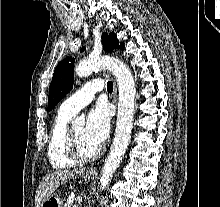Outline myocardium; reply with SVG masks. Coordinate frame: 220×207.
<instances>
[{
    "label": "myocardium",
    "mask_w": 220,
    "mask_h": 207,
    "mask_svg": "<svg viewBox=\"0 0 220 207\" xmlns=\"http://www.w3.org/2000/svg\"><path fill=\"white\" fill-rule=\"evenodd\" d=\"M65 148H66L67 155L76 163L91 162L97 159L102 153V149L100 147L95 153L91 155H83L79 149V146L77 144V141L75 139L72 129H69V128L65 136Z\"/></svg>",
    "instance_id": "myocardium-1"
}]
</instances>
